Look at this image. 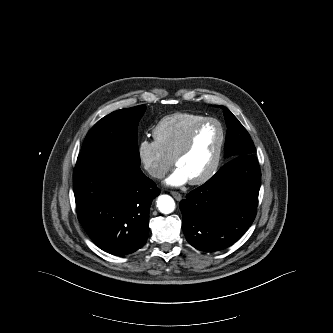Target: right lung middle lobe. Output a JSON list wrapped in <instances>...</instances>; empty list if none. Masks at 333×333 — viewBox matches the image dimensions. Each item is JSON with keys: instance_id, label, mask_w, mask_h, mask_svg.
<instances>
[{"instance_id": "right-lung-middle-lobe-1", "label": "right lung middle lobe", "mask_w": 333, "mask_h": 333, "mask_svg": "<svg viewBox=\"0 0 333 333\" xmlns=\"http://www.w3.org/2000/svg\"><path fill=\"white\" fill-rule=\"evenodd\" d=\"M144 112L145 106L139 105L121 109L103 117L87 134L81 154L115 152L140 164L137 127Z\"/></svg>"}]
</instances>
